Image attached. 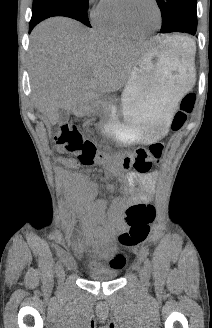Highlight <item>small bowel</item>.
<instances>
[{
  "label": "small bowel",
  "instance_id": "obj_1",
  "mask_svg": "<svg viewBox=\"0 0 212 328\" xmlns=\"http://www.w3.org/2000/svg\"><path fill=\"white\" fill-rule=\"evenodd\" d=\"M58 161L69 168L77 167V162L71 158H59ZM62 176L69 183L71 198L85 210L84 224L87 232L101 241L106 240L115 231L124 229L122 214L134 203L149 200L145 192L158 180L156 171L144 173L129 170H113L112 173L97 171L94 174L95 180L117 178L120 181L123 195L119 197L115 195V187L110 181L99 184L80 173L74 175L63 173ZM102 190L110 193V201L99 196ZM122 266L111 261V267L115 269H120Z\"/></svg>",
  "mask_w": 212,
  "mask_h": 328
}]
</instances>
